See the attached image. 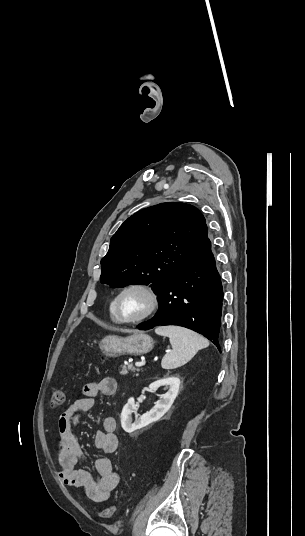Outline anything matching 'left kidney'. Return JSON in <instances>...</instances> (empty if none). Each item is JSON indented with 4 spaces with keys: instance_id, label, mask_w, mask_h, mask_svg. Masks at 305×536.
Returning <instances> with one entry per match:
<instances>
[{
    "instance_id": "obj_1",
    "label": "left kidney",
    "mask_w": 305,
    "mask_h": 536,
    "mask_svg": "<svg viewBox=\"0 0 305 536\" xmlns=\"http://www.w3.org/2000/svg\"><path fill=\"white\" fill-rule=\"evenodd\" d=\"M180 384L181 382L176 376H166V378H162V380H157V382L150 384V390H158L160 386H165L164 390H168V392L161 396L160 400L156 402V406H154L150 412H146L144 416H137L136 422H132V414L137 412V406L134 398H129L120 416L123 430L128 432V434H131V432H135V430H140V428H145V426H149L152 422L160 420V418L170 410L179 392Z\"/></svg>"
}]
</instances>
